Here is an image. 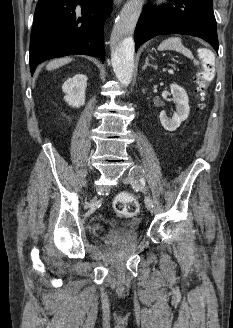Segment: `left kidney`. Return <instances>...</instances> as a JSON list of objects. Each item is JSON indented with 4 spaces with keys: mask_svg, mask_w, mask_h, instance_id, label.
Listing matches in <instances>:
<instances>
[{
    "mask_svg": "<svg viewBox=\"0 0 233 328\" xmlns=\"http://www.w3.org/2000/svg\"><path fill=\"white\" fill-rule=\"evenodd\" d=\"M171 93L176 104V112L172 118H168L165 111H161L159 117L163 128L167 131H175L189 116V98L186 91L177 84L170 85Z\"/></svg>",
    "mask_w": 233,
    "mask_h": 328,
    "instance_id": "obj_1",
    "label": "left kidney"
}]
</instances>
